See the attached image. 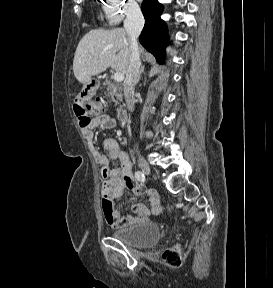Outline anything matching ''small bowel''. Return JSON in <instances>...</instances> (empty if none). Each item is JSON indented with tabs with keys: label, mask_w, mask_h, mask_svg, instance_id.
Returning <instances> with one entry per match:
<instances>
[{
	"label": "small bowel",
	"mask_w": 273,
	"mask_h": 288,
	"mask_svg": "<svg viewBox=\"0 0 273 288\" xmlns=\"http://www.w3.org/2000/svg\"><path fill=\"white\" fill-rule=\"evenodd\" d=\"M115 126L116 121L112 117L100 114L91 119L89 125L82 129V134L92 147L95 130L112 129ZM102 146L108 156L97 151H94L93 154L96 162L101 166L100 173L103 178L101 187L102 209L109 225L114 228L127 227L146 221L151 214H160L163 207L160 204L158 194L153 190H146L141 183L136 181L132 175L129 156L120 148L117 141L113 138H107L103 141ZM111 159L118 160L120 167L111 169L109 166ZM125 188L130 189L135 196L146 193L150 199L151 208L141 203H135L132 206L135 216H120L114 207V200L123 196Z\"/></svg>",
	"instance_id": "1"
}]
</instances>
